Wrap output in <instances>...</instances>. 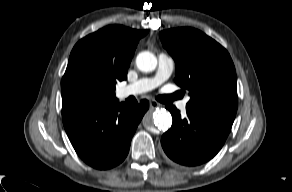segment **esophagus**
<instances>
[{"label": "esophagus", "instance_id": "1", "mask_svg": "<svg viewBox=\"0 0 292 192\" xmlns=\"http://www.w3.org/2000/svg\"><path fill=\"white\" fill-rule=\"evenodd\" d=\"M159 106H160V103H158L157 101H155V100L150 101V108L151 109H155Z\"/></svg>", "mask_w": 292, "mask_h": 192}]
</instances>
